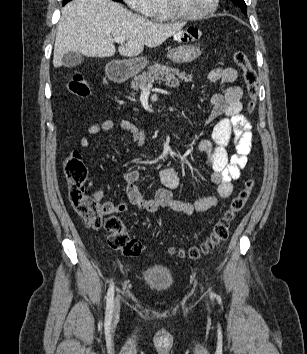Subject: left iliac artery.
<instances>
[{
  "label": "left iliac artery",
  "instance_id": "obj_1",
  "mask_svg": "<svg viewBox=\"0 0 307 354\" xmlns=\"http://www.w3.org/2000/svg\"><path fill=\"white\" fill-rule=\"evenodd\" d=\"M210 297L213 299L215 297V294L213 292H210Z\"/></svg>",
  "mask_w": 307,
  "mask_h": 354
}]
</instances>
